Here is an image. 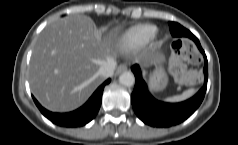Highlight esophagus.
<instances>
[{
    "label": "esophagus",
    "mask_w": 238,
    "mask_h": 145,
    "mask_svg": "<svg viewBox=\"0 0 238 145\" xmlns=\"http://www.w3.org/2000/svg\"><path fill=\"white\" fill-rule=\"evenodd\" d=\"M127 69H128L127 65L121 64V65L118 66V68L116 70V73L120 74V73L126 71Z\"/></svg>",
    "instance_id": "esophagus-1"
}]
</instances>
